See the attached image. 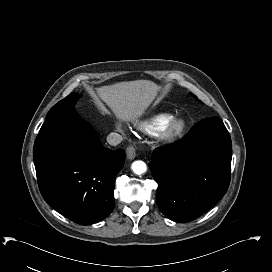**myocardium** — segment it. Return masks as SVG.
<instances>
[{
    "label": "myocardium",
    "instance_id": "f54148a6",
    "mask_svg": "<svg viewBox=\"0 0 272 272\" xmlns=\"http://www.w3.org/2000/svg\"><path fill=\"white\" fill-rule=\"evenodd\" d=\"M184 129V122L181 119H175L162 130V137L166 140H173L181 136Z\"/></svg>",
    "mask_w": 272,
    "mask_h": 272
}]
</instances>
